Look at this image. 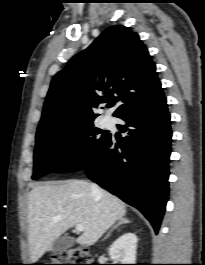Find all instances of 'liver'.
I'll return each mask as SVG.
<instances>
[{"instance_id":"obj_1","label":"liver","mask_w":205,"mask_h":265,"mask_svg":"<svg viewBox=\"0 0 205 265\" xmlns=\"http://www.w3.org/2000/svg\"><path fill=\"white\" fill-rule=\"evenodd\" d=\"M28 241L30 259L36 262L55 239L81 224L83 233L76 239L91 246L126 215L125 204L100 189L93 192L84 180L46 182L35 186L28 196Z\"/></svg>"}]
</instances>
